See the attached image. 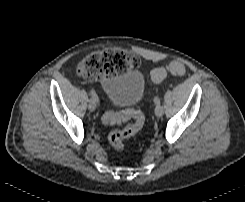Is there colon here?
<instances>
[{
  "mask_svg": "<svg viewBox=\"0 0 245 202\" xmlns=\"http://www.w3.org/2000/svg\"><path fill=\"white\" fill-rule=\"evenodd\" d=\"M136 62V58L122 48L104 49L90 53L78 64V72L89 80H98L103 77H114L125 74ZM185 66L180 61H171L164 67L154 70L156 80H163L167 74L182 75ZM131 120V123L121 129L112 131L108 136L109 145L118 151L125 148L126 140L136 135L144 126V115L141 111L131 109L123 114L106 111L102 115L105 124H117L123 120Z\"/></svg>",
  "mask_w": 245,
  "mask_h": 202,
  "instance_id": "obj_1",
  "label": "colon"
}]
</instances>
